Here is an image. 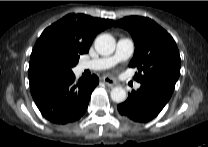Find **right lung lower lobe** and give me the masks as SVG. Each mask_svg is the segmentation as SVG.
I'll return each mask as SVG.
<instances>
[{"instance_id":"obj_1","label":"right lung lower lobe","mask_w":208,"mask_h":147,"mask_svg":"<svg viewBox=\"0 0 208 147\" xmlns=\"http://www.w3.org/2000/svg\"><path fill=\"white\" fill-rule=\"evenodd\" d=\"M98 83L96 75L76 81L71 73L40 80L30 85V91L46 119L66 124L78 120L85 113L91 93Z\"/></svg>"}]
</instances>
